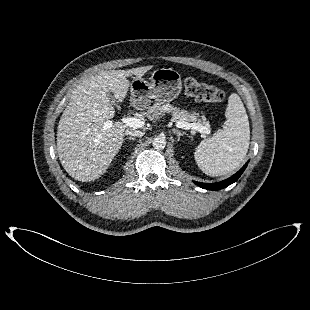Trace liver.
<instances>
[{"mask_svg":"<svg viewBox=\"0 0 310 310\" xmlns=\"http://www.w3.org/2000/svg\"><path fill=\"white\" fill-rule=\"evenodd\" d=\"M150 66L130 70H110L83 80L71 94L57 131V152L66 172L75 180L87 182L101 177L119 152L127 127L114 122L108 93L122 101L130 87L128 76L142 77Z\"/></svg>","mask_w":310,"mask_h":310,"instance_id":"obj_1","label":"liver"}]
</instances>
